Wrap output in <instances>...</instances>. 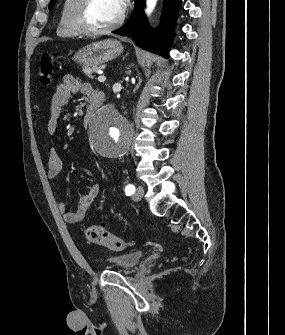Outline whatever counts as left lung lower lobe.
<instances>
[{
	"label": "left lung lower lobe",
	"instance_id": "1",
	"mask_svg": "<svg viewBox=\"0 0 285 335\" xmlns=\"http://www.w3.org/2000/svg\"><path fill=\"white\" fill-rule=\"evenodd\" d=\"M181 0H164L161 25L157 31H151L146 16L143 14V0H135L134 12L124 26L113 33L130 36L143 49L168 58L173 27Z\"/></svg>",
	"mask_w": 285,
	"mask_h": 335
}]
</instances>
